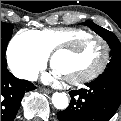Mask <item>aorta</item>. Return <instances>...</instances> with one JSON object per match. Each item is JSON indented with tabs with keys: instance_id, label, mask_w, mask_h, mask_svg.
I'll return each mask as SVG.
<instances>
[{
	"instance_id": "obj_1",
	"label": "aorta",
	"mask_w": 121,
	"mask_h": 121,
	"mask_svg": "<svg viewBox=\"0 0 121 121\" xmlns=\"http://www.w3.org/2000/svg\"><path fill=\"white\" fill-rule=\"evenodd\" d=\"M52 103L57 109H66L69 105V100L65 93L55 92L52 96Z\"/></svg>"
}]
</instances>
